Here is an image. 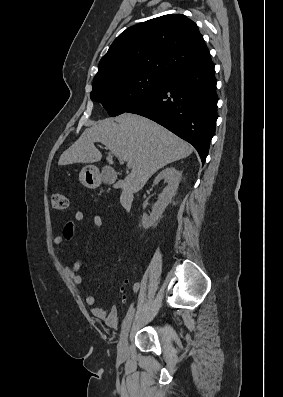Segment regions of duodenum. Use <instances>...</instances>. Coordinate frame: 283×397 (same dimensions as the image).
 I'll list each match as a JSON object with an SVG mask.
<instances>
[{"mask_svg":"<svg viewBox=\"0 0 283 397\" xmlns=\"http://www.w3.org/2000/svg\"><path fill=\"white\" fill-rule=\"evenodd\" d=\"M121 189L120 204L124 210H130L133 204L134 195L130 189L122 184H116Z\"/></svg>","mask_w":283,"mask_h":397,"instance_id":"1","label":"duodenum"}]
</instances>
